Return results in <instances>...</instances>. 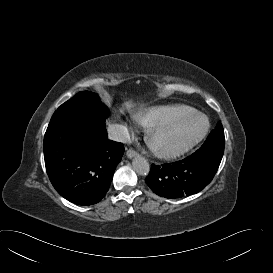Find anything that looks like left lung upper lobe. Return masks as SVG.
<instances>
[{
    "label": "left lung upper lobe",
    "instance_id": "5c2ea615",
    "mask_svg": "<svg viewBox=\"0 0 273 273\" xmlns=\"http://www.w3.org/2000/svg\"><path fill=\"white\" fill-rule=\"evenodd\" d=\"M225 137L221 122H218L216 128L209 134L204 144L194 153L203 155L221 162L224 153Z\"/></svg>",
    "mask_w": 273,
    "mask_h": 273
}]
</instances>
